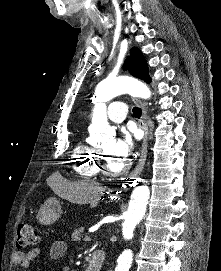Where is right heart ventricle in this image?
<instances>
[{
    "label": "right heart ventricle",
    "instance_id": "right-heart-ventricle-1",
    "mask_svg": "<svg viewBox=\"0 0 221 271\" xmlns=\"http://www.w3.org/2000/svg\"><path fill=\"white\" fill-rule=\"evenodd\" d=\"M79 145L82 147L84 144L81 142ZM86 157V154H74L71 162L73 164H83V166H75L76 172H78L79 176H97L99 171L98 164Z\"/></svg>",
    "mask_w": 221,
    "mask_h": 271
}]
</instances>
